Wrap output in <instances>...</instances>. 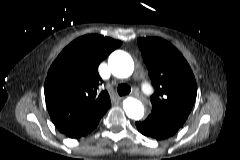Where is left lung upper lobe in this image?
Here are the masks:
<instances>
[{"mask_svg":"<svg viewBox=\"0 0 240 160\" xmlns=\"http://www.w3.org/2000/svg\"><path fill=\"white\" fill-rule=\"evenodd\" d=\"M138 46L155 88L151 119L177 132L187 120L197 95L194 74L183 55L169 42L139 38Z\"/></svg>","mask_w":240,"mask_h":160,"instance_id":"obj_1","label":"left lung upper lobe"}]
</instances>
